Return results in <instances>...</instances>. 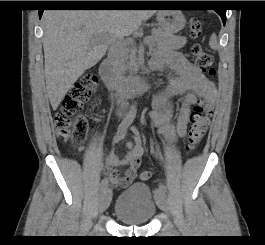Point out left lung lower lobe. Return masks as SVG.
Listing matches in <instances>:
<instances>
[{
	"instance_id": "obj_1",
	"label": "left lung lower lobe",
	"mask_w": 265,
	"mask_h": 245,
	"mask_svg": "<svg viewBox=\"0 0 265 245\" xmlns=\"http://www.w3.org/2000/svg\"><path fill=\"white\" fill-rule=\"evenodd\" d=\"M175 3H178V1H156V2H154V5H157V6H172ZM215 11L220 15V17L222 18L223 24L225 25V22H226V10L225 9H218V10H215Z\"/></svg>"
}]
</instances>
